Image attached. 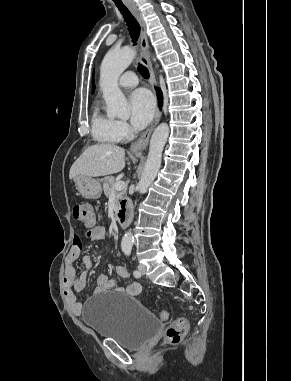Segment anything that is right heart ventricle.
Masks as SVG:
<instances>
[{"instance_id":"e07e8e85","label":"right heart ventricle","mask_w":291,"mask_h":381,"mask_svg":"<svg viewBox=\"0 0 291 381\" xmlns=\"http://www.w3.org/2000/svg\"><path fill=\"white\" fill-rule=\"evenodd\" d=\"M117 123L118 121L112 116L96 106L91 116V132L94 139L104 144H115L122 141L123 136L118 130Z\"/></svg>"}]
</instances>
